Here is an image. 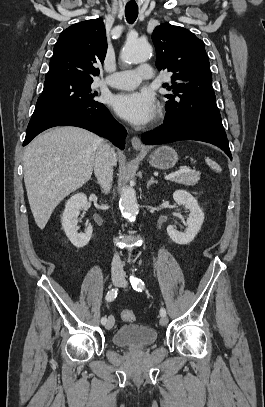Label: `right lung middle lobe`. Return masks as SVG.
<instances>
[{"label": "right lung middle lobe", "instance_id": "right-lung-middle-lobe-1", "mask_svg": "<svg viewBox=\"0 0 265 407\" xmlns=\"http://www.w3.org/2000/svg\"><path fill=\"white\" fill-rule=\"evenodd\" d=\"M92 82L68 78L45 80L30 122L62 111L101 104L96 100L97 92L91 90Z\"/></svg>", "mask_w": 265, "mask_h": 407}]
</instances>
